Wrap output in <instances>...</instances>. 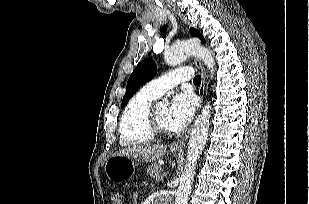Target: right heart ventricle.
I'll use <instances>...</instances> for the list:
<instances>
[{
  "mask_svg": "<svg viewBox=\"0 0 309 204\" xmlns=\"http://www.w3.org/2000/svg\"><path fill=\"white\" fill-rule=\"evenodd\" d=\"M156 98L141 90L129 100L119 123V136L122 145H137L153 140L155 135L148 128L146 117Z\"/></svg>",
  "mask_w": 309,
  "mask_h": 204,
  "instance_id": "obj_1",
  "label": "right heart ventricle"
}]
</instances>
